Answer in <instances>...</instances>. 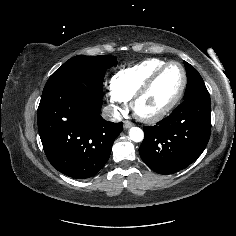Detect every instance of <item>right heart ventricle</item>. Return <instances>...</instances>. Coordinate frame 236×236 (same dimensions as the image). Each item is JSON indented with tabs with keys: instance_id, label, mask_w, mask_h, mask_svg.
<instances>
[{
	"instance_id": "1",
	"label": "right heart ventricle",
	"mask_w": 236,
	"mask_h": 236,
	"mask_svg": "<svg viewBox=\"0 0 236 236\" xmlns=\"http://www.w3.org/2000/svg\"><path fill=\"white\" fill-rule=\"evenodd\" d=\"M166 61L148 59L132 67L118 71L111 80V92L123 101H129L148 78Z\"/></svg>"
}]
</instances>
